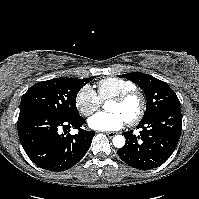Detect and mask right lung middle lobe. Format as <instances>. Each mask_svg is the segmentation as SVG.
Here are the masks:
<instances>
[{"label":"right lung middle lobe","mask_w":199,"mask_h":199,"mask_svg":"<svg viewBox=\"0 0 199 199\" xmlns=\"http://www.w3.org/2000/svg\"><path fill=\"white\" fill-rule=\"evenodd\" d=\"M93 78H55L38 82L22 96L20 113L34 110L64 119L75 118L79 116L75 104L76 96Z\"/></svg>","instance_id":"obj_1"}]
</instances>
